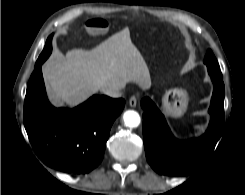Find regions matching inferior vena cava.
Here are the masks:
<instances>
[{
  "label": "inferior vena cava",
  "mask_w": 245,
  "mask_h": 195,
  "mask_svg": "<svg viewBox=\"0 0 245 195\" xmlns=\"http://www.w3.org/2000/svg\"><path fill=\"white\" fill-rule=\"evenodd\" d=\"M120 89L118 88H102L101 92L107 96L118 98L121 96V93L119 92Z\"/></svg>",
  "instance_id": "602c4592"
}]
</instances>
